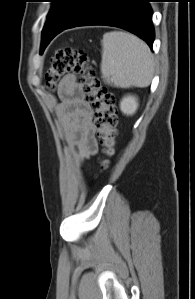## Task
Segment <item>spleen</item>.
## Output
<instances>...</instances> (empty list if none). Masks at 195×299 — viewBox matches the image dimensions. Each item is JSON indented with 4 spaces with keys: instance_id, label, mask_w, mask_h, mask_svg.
<instances>
[{
    "instance_id": "obj_1",
    "label": "spleen",
    "mask_w": 195,
    "mask_h": 299,
    "mask_svg": "<svg viewBox=\"0 0 195 299\" xmlns=\"http://www.w3.org/2000/svg\"><path fill=\"white\" fill-rule=\"evenodd\" d=\"M102 78L120 88L147 87L154 74L148 45L130 33L111 31L102 39Z\"/></svg>"
}]
</instances>
